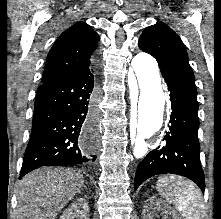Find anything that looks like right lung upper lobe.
<instances>
[{"label": "right lung upper lobe", "instance_id": "cb5924a9", "mask_svg": "<svg viewBox=\"0 0 221 219\" xmlns=\"http://www.w3.org/2000/svg\"><path fill=\"white\" fill-rule=\"evenodd\" d=\"M99 39L92 27L84 22L64 31L48 54L42 84L72 76L90 66Z\"/></svg>", "mask_w": 221, "mask_h": 219}]
</instances>
